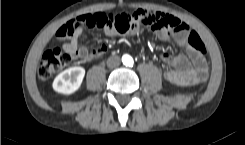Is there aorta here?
Returning a JSON list of instances; mask_svg holds the SVG:
<instances>
[{
	"mask_svg": "<svg viewBox=\"0 0 245 145\" xmlns=\"http://www.w3.org/2000/svg\"><path fill=\"white\" fill-rule=\"evenodd\" d=\"M122 61H123V63L125 64V65H130L131 63H132V57L131 56H129V55H124L123 57H122Z\"/></svg>",
	"mask_w": 245,
	"mask_h": 145,
	"instance_id": "762f6f07",
	"label": "aorta"
}]
</instances>
